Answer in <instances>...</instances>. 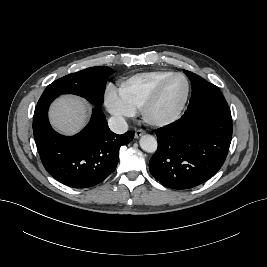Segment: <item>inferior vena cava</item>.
<instances>
[{
	"label": "inferior vena cava",
	"mask_w": 267,
	"mask_h": 267,
	"mask_svg": "<svg viewBox=\"0 0 267 267\" xmlns=\"http://www.w3.org/2000/svg\"><path fill=\"white\" fill-rule=\"evenodd\" d=\"M109 128L116 134H123L128 130L126 120L121 116H113L108 120Z\"/></svg>",
	"instance_id": "inferior-vena-cava-1"
}]
</instances>
